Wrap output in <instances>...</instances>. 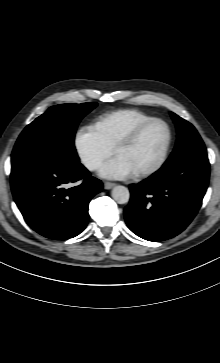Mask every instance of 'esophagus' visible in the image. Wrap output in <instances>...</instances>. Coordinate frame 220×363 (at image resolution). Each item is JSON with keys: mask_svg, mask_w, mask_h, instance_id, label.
<instances>
[{"mask_svg": "<svg viewBox=\"0 0 220 363\" xmlns=\"http://www.w3.org/2000/svg\"><path fill=\"white\" fill-rule=\"evenodd\" d=\"M115 186H116V183H112V182H105L104 183V188L107 189V190L112 189Z\"/></svg>", "mask_w": 220, "mask_h": 363, "instance_id": "1", "label": "esophagus"}]
</instances>
